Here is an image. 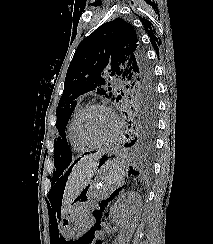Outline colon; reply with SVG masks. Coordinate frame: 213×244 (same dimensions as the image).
I'll return each instance as SVG.
<instances>
[{
	"instance_id": "1",
	"label": "colon",
	"mask_w": 213,
	"mask_h": 244,
	"mask_svg": "<svg viewBox=\"0 0 213 244\" xmlns=\"http://www.w3.org/2000/svg\"><path fill=\"white\" fill-rule=\"evenodd\" d=\"M97 244H105V242L99 241Z\"/></svg>"
}]
</instances>
